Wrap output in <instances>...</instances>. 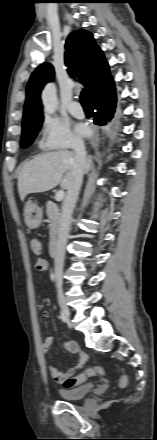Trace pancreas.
Returning a JSON list of instances; mask_svg holds the SVG:
<instances>
[{
    "mask_svg": "<svg viewBox=\"0 0 157 440\" xmlns=\"http://www.w3.org/2000/svg\"><path fill=\"white\" fill-rule=\"evenodd\" d=\"M46 213L50 219V244H53L59 232L61 213L58 206L51 201H48L46 204Z\"/></svg>",
    "mask_w": 157,
    "mask_h": 440,
    "instance_id": "cf45deb5",
    "label": "pancreas"
}]
</instances>
